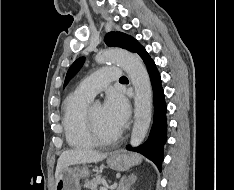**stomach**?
<instances>
[{"label":"stomach","instance_id":"stomach-1","mask_svg":"<svg viewBox=\"0 0 234 190\" xmlns=\"http://www.w3.org/2000/svg\"><path fill=\"white\" fill-rule=\"evenodd\" d=\"M141 161L138 155H128L126 153L112 154L107 163L111 169L126 171ZM90 174L87 167H66L56 177L54 190H80V179L88 177Z\"/></svg>","mask_w":234,"mask_h":190}]
</instances>
